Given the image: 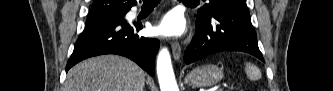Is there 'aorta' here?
Listing matches in <instances>:
<instances>
[{"label":"aorta","instance_id":"obj_1","mask_svg":"<svg viewBox=\"0 0 333 91\" xmlns=\"http://www.w3.org/2000/svg\"><path fill=\"white\" fill-rule=\"evenodd\" d=\"M157 75L161 91H179L169 51L163 48L157 58Z\"/></svg>","mask_w":333,"mask_h":91}]
</instances>
